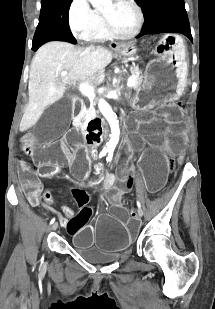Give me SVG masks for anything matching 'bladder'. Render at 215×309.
Returning <instances> with one entry per match:
<instances>
[{"label": "bladder", "mask_w": 215, "mask_h": 309, "mask_svg": "<svg viewBox=\"0 0 215 309\" xmlns=\"http://www.w3.org/2000/svg\"><path fill=\"white\" fill-rule=\"evenodd\" d=\"M82 256L91 263L105 264L111 263L119 259V254H104V255H88L82 254Z\"/></svg>", "instance_id": "31cf9c89"}]
</instances>
